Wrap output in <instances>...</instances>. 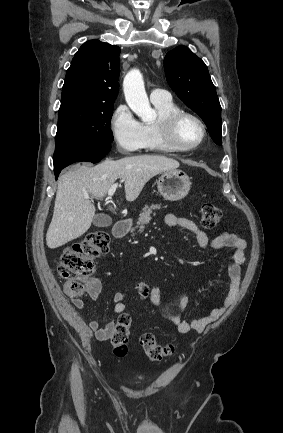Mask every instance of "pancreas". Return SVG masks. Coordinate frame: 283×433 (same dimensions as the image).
Here are the masks:
<instances>
[{"label":"pancreas","mask_w":283,"mask_h":433,"mask_svg":"<svg viewBox=\"0 0 283 433\" xmlns=\"http://www.w3.org/2000/svg\"><path fill=\"white\" fill-rule=\"evenodd\" d=\"M154 208H160V204H151V206H147V204H145L144 208H142V212L139 214V219L136 223L137 227H133V229H131V233H133L135 229H139L140 233H142L143 229H145V225L150 223L152 214L153 217H155V212H153Z\"/></svg>","instance_id":"1"}]
</instances>
